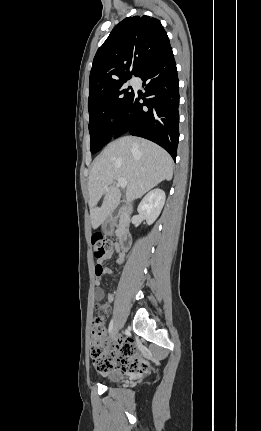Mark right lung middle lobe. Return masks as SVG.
Listing matches in <instances>:
<instances>
[{
  "label": "right lung middle lobe",
  "instance_id": "dd1d6c3e",
  "mask_svg": "<svg viewBox=\"0 0 261 431\" xmlns=\"http://www.w3.org/2000/svg\"><path fill=\"white\" fill-rule=\"evenodd\" d=\"M128 79L89 94V133L92 154L98 152L111 140L118 120L134 94L131 87L124 86ZM110 117L116 119L114 124L110 123Z\"/></svg>",
  "mask_w": 261,
  "mask_h": 431
}]
</instances>
